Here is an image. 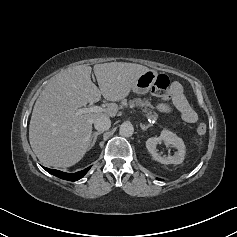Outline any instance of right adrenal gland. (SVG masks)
Wrapping results in <instances>:
<instances>
[{"label":"right adrenal gland","mask_w":237,"mask_h":237,"mask_svg":"<svg viewBox=\"0 0 237 237\" xmlns=\"http://www.w3.org/2000/svg\"><path fill=\"white\" fill-rule=\"evenodd\" d=\"M103 132L102 131H98V132H94L92 135H91V138H90V143H89V149H91L94 145H95V142L97 140V137L98 135L102 134Z\"/></svg>","instance_id":"right-adrenal-gland-1"}]
</instances>
